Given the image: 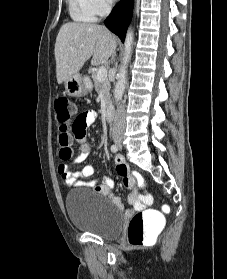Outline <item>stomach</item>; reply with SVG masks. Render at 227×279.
<instances>
[{"label":"stomach","instance_id":"obj_1","mask_svg":"<svg viewBox=\"0 0 227 279\" xmlns=\"http://www.w3.org/2000/svg\"><path fill=\"white\" fill-rule=\"evenodd\" d=\"M66 93L71 97H80L90 91L92 86L89 82L83 81L81 75L76 73L64 81Z\"/></svg>","mask_w":227,"mask_h":279}]
</instances>
